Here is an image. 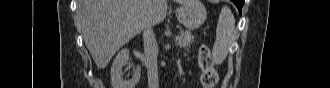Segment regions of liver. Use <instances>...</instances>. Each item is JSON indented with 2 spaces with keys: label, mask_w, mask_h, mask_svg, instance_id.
Wrapping results in <instances>:
<instances>
[{
  "label": "liver",
  "mask_w": 330,
  "mask_h": 88,
  "mask_svg": "<svg viewBox=\"0 0 330 88\" xmlns=\"http://www.w3.org/2000/svg\"><path fill=\"white\" fill-rule=\"evenodd\" d=\"M166 15L167 0H79L77 5L85 45L100 69L145 25L159 24Z\"/></svg>",
  "instance_id": "liver-1"
}]
</instances>
